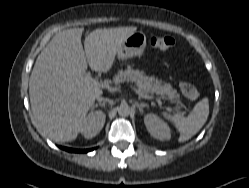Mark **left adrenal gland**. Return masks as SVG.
I'll use <instances>...</instances> for the list:
<instances>
[{
  "mask_svg": "<svg viewBox=\"0 0 249 188\" xmlns=\"http://www.w3.org/2000/svg\"><path fill=\"white\" fill-rule=\"evenodd\" d=\"M135 105L138 107V109H139V111L141 113H143V108L148 107V104H146V103H139L137 101L135 102Z\"/></svg>",
  "mask_w": 249,
  "mask_h": 188,
  "instance_id": "1",
  "label": "left adrenal gland"
}]
</instances>
